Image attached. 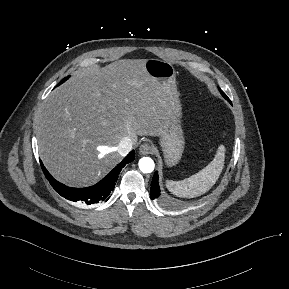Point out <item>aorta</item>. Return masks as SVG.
I'll list each match as a JSON object with an SVG mask.
<instances>
[{"mask_svg": "<svg viewBox=\"0 0 289 289\" xmlns=\"http://www.w3.org/2000/svg\"><path fill=\"white\" fill-rule=\"evenodd\" d=\"M139 169L143 173H151L154 170L155 164L150 157H143L139 160Z\"/></svg>", "mask_w": 289, "mask_h": 289, "instance_id": "1", "label": "aorta"}]
</instances>
